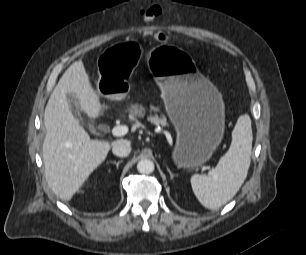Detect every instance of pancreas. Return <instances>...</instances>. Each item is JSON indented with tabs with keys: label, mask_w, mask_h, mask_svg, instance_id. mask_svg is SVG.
<instances>
[{
	"label": "pancreas",
	"mask_w": 306,
	"mask_h": 255,
	"mask_svg": "<svg viewBox=\"0 0 306 255\" xmlns=\"http://www.w3.org/2000/svg\"><path fill=\"white\" fill-rule=\"evenodd\" d=\"M152 110L157 111V109L154 107H152ZM131 114L133 116L144 117L145 108L142 106L135 105L132 107ZM148 120L155 125H161L163 127L168 126L167 118L165 115H161L159 117L158 115L155 114L154 116H149Z\"/></svg>",
	"instance_id": "obj_1"
}]
</instances>
